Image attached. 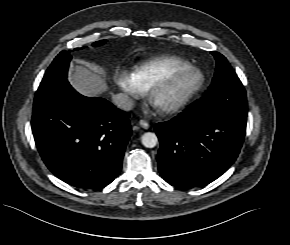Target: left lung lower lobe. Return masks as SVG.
Wrapping results in <instances>:
<instances>
[{
	"label": "left lung lower lobe",
	"mask_w": 290,
	"mask_h": 245,
	"mask_svg": "<svg viewBox=\"0 0 290 245\" xmlns=\"http://www.w3.org/2000/svg\"><path fill=\"white\" fill-rule=\"evenodd\" d=\"M247 98L243 86L211 93L154 129L160 141L158 169L171 185L209 184L236 160L246 132Z\"/></svg>",
	"instance_id": "0a47b994"
}]
</instances>
